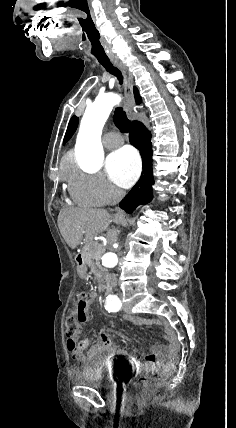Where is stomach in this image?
I'll return each instance as SVG.
<instances>
[{
    "mask_svg": "<svg viewBox=\"0 0 236 428\" xmlns=\"http://www.w3.org/2000/svg\"><path fill=\"white\" fill-rule=\"evenodd\" d=\"M80 273H81V277L82 278H87L88 277V272H87V268L86 267H81L80 268Z\"/></svg>",
    "mask_w": 236,
    "mask_h": 428,
    "instance_id": "stomach-1",
    "label": "stomach"
}]
</instances>
